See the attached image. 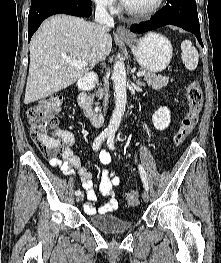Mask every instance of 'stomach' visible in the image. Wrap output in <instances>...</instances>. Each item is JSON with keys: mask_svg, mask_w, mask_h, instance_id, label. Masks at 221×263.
Instances as JSON below:
<instances>
[{"mask_svg": "<svg viewBox=\"0 0 221 263\" xmlns=\"http://www.w3.org/2000/svg\"><path fill=\"white\" fill-rule=\"evenodd\" d=\"M130 47L138 64L151 73L163 71L170 63L171 42L159 33H148L140 39H123Z\"/></svg>", "mask_w": 221, "mask_h": 263, "instance_id": "stomach-1", "label": "stomach"}]
</instances>
